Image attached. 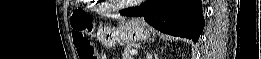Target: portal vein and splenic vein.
Masks as SVG:
<instances>
[{
	"mask_svg": "<svg viewBox=\"0 0 261 59\" xmlns=\"http://www.w3.org/2000/svg\"><path fill=\"white\" fill-rule=\"evenodd\" d=\"M130 53H131V55H136L137 51L136 50H132Z\"/></svg>",
	"mask_w": 261,
	"mask_h": 59,
	"instance_id": "obj_1",
	"label": "portal vein and splenic vein"
}]
</instances>
